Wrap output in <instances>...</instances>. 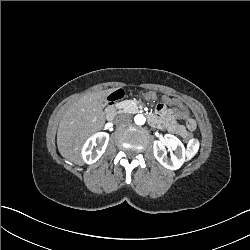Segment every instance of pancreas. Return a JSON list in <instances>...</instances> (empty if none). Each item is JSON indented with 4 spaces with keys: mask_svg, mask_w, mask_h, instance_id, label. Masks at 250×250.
Returning a JSON list of instances; mask_svg holds the SVG:
<instances>
[{
    "mask_svg": "<svg viewBox=\"0 0 250 250\" xmlns=\"http://www.w3.org/2000/svg\"><path fill=\"white\" fill-rule=\"evenodd\" d=\"M135 107V103H133V102H131V103H129V107Z\"/></svg>",
    "mask_w": 250,
    "mask_h": 250,
    "instance_id": "1",
    "label": "pancreas"
}]
</instances>
